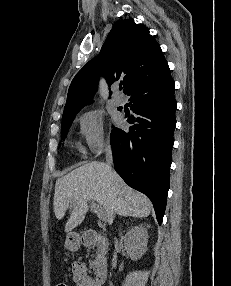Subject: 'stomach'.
Returning <instances> with one entry per match:
<instances>
[{
    "mask_svg": "<svg viewBox=\"0 0 231 286\" xmlns=\"http://www.w3.org/2000/svg\"><path fill=\"white\" fill-rule=\"evenodd\" d=\"M80 247V236L75 232L67 235L65 240V248L70 251H77Z\"/></svg>",
    "mask_w": 231,
    "mask_h": 286,
    "instance_id": "obj_1",
    "label": "stomach"
}]
</instances>
